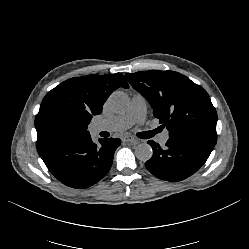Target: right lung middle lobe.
<instances>
[{
	"instance_id": "right-lung-middle-lobe-1",
	"label": "right lung middle lobe",
	"mask_w": 249,
	"mask_h": 249,
	"mask_svg": "<svg viewBox=\"0 0 249 249\" xmlns=\"http://www.w3.org/2000/svg\"><path fill=\"white\" fill-rule=\"evenodd\" d=\"M54 127L57 131L67 135H74L80 128L86 129L84 124H80L74 117L66 115H56L54 117Z\"/></svg>"
}]
</instances>
